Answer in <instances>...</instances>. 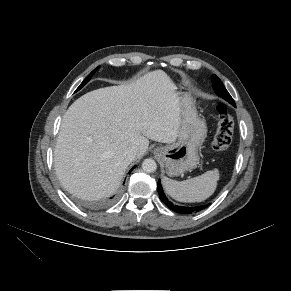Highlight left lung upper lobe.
<instances>
[{
	"label": "left lung upper lobe",
	"mask_w": 291,
	"mask_h": 291,
	"mask_svg": "<svg viewBox=\"0 0 291 291\" xmlns=\"http://www.w3.org/2000/svg\"><path fill=\"white\" fill-rule=\"evenodd\" d=\"M212 85H213V88H214V90H215V92L217 93L218 96L222 97L223 99L228 101L230 104L235 106V102H234L233 98L228 93V91L224 87V85L221 82V80L215 74L212 75Z\"/></svg>",
	"instance_id": "left-lung-upper-lobe-1"
}]
</instances>
